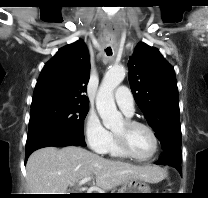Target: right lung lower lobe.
<instances>
[{"label":"right lung lower lobe","instance_id":"98d812e1","mask_svg":"<svg viewBox=\"0 0 208 198\" xmlns=\"http://www.w3.org/2000/svg\"><path fill=\"white\" fill-rule=\"evenodd\" d=\"M70 145L86 146L84 139L64 130H47L29 136L26 142L25 162L30 154L39 148L48 146L65 147Z\"/></svg>","mask_w":208,"mask_h":198}]
</instances>
